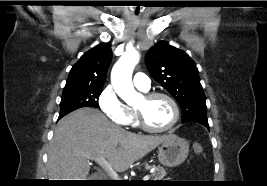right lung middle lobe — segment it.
Listing matches in <instances>:
<instances>
[{
    "label": "right lung middle lobe",
    "instance_id": "1",
    "mask_svg": "<svg viewBox=\"0 0 267 186\" xmlns=\"http://www.w3.org/2000/svg\"><path fill=\"white\" fill-rule=\"evenodd\" d=\"M103 88H64L61 103L60 116H64L82 107H99L98 99Z\"/></svg>",
    "mask_w": 267,
    "mask_h": 186
}]
</instances>
